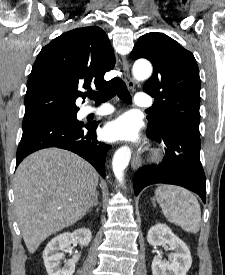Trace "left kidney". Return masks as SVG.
I'll return each mask as SVG.
<instances>
[{
  "mask_svg": "<svg viewBox=\"0 0 225 275\" xmlns=\"http://www.w3.org/2000/svg\"><path fill=\"white\" fill-rule=\"evenodd\" d=\"M147 241L152 246L168 244L174 250L172 261L165 262L161 256H155L152 261L153 275H186L192 264L189 248L165 224H156L147 234Z\"/></svg>",
  "mask_w": 225,
  "mask_h": 275,
  "instance_id": "1",
  "label": "left kidney"
}]
</instances>
